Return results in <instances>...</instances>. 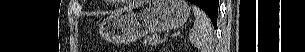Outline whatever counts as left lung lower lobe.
I'll return each mask as SVG.
<instances>
[{"mask_svg": "<svg viewBox=\"0 0 305 52\" xmlns=\"http://www.w3.org/2000/svg\"><path fill=\"white\" fill-rule=\"evenodd\" d=\"M195 5L202 8L206 13L208 10L210 11H218V0H189ZM213 23V22H212ZM214 28L217 26V22L213 23Z\"/></svg>", "mask_w": 305, "mask_h": 52, "instance_id": "obj_1", "label": "left lung lower lobe"}]
</instances>
